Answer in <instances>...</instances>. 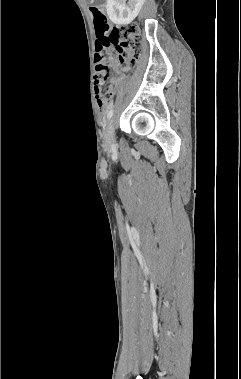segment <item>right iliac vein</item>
<instances>
[{
	"label": "right iliac vein",
	"mask_w": 241,
	"mask_h": 379,
	"mask_svg": "<svg viewBox=\"0 0 241 379\" xmlns=\"http://www.w3.org/2000/svg\"><path fill=\"white\" fill-rule=\"evenodd\" d=\"M105 138L108 145H111L114 143L113 120L108 125Z\"/></svg>",
	"instance_id": "1"
}]
</instances>
